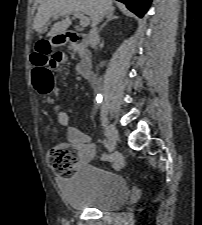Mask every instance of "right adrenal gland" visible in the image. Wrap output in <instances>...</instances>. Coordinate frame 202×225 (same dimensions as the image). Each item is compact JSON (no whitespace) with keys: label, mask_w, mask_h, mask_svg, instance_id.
Returning <instances> with one entry per match:
<instances>
[{"label":"right adrenal gland","mask_w":202,"mask_h":225,"mask_svg":"<svg viewBox=\"0 0 202 225\" xmlns=\"http://www.w3.org/2000/svg\"><path fill=\"white\" fill-rule=\"evenodd\" d=\"M120 18L119 16H115L114 15V11H110L107 15V20L103 23V25L99 28V31L98 32H101L102 29L107 25V23L109 21H112V20H115V19H118Z\"/></svg>","instance_id":"2a0ac1e0"}]
</instances>
